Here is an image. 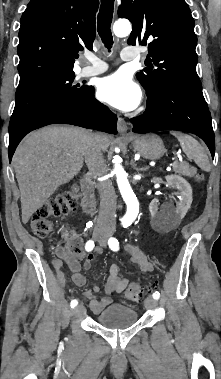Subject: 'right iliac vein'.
Here are the masks:
<instances>
[{"mask_svg": "<svg viewBox=\"0 0 221 379\" xmlns=\"http://www.w3.org/2000/svg\"><path fill=\"white\" fill-rule=\"evenodd\" d=\"M85 313V307L80 304L78 305L74 310H73V315L74 316H81Z\"/></svg>", "mask_w": 221, "mask_h": 379, "instance_id": "right-iliac-vein-1", "label": "right iliac vein"}]
</instances>
